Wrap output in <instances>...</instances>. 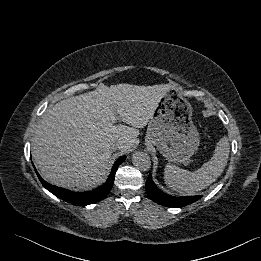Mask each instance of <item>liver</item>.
I'll return each instance as SVG.
<instances>
[{"mask_svg": "<svg viewBox=\"0 0 261 261\" xmlns=\"http://www.w3.org/2000/svg\"><path fill=\"white\" fill-rule=\"evenodd\" d=\"M172 84H117L56 103L39 120L32 139V157L48 182L76 191L104 183L112 144L122 152L137 142L159 99ZM117 119L127 125L115 124ZM131 126V127H130Z\"/></svg>", "mask_w": 261, "mask_h": 261, "instance_id": "1", "label": "liver"}]
</instances>
